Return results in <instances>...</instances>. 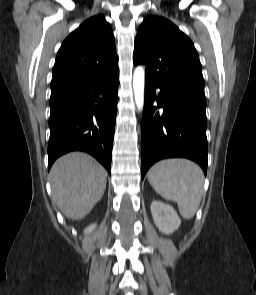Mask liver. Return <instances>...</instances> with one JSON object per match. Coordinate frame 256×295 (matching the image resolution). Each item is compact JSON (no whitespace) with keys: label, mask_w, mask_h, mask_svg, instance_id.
I'll list each match as a JSON object with an SVG mask.
<instances>
[{"label":"liver","mask_w":256,"mask_h":295,"mask_svg":"<svg viewBox=\"0 0 256 295\" xmlns=\"http://www.w3.org/2000/svg\"><path fill=\"white\" fill-rule=\"evenodd\" d=\"M49 176L52 201L72 220L88 215L106 188V170L93 157L81 152L60 157Z\"/></svg>","instance_id":"1"}]
</instances>
